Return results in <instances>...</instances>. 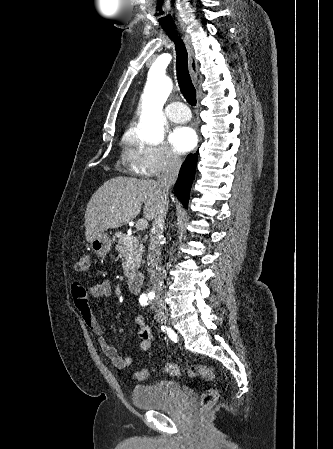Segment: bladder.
I'll list each match as a JSON object with an SVG mask.
<instances>
[{
    "label": "bladder",
    "instance_id": "1",
    "mask_svg": "<svg viewBox=\"0 0 333 449\" xmlns=\"http://www.w3.org/2000/svg\"><path fill=\"white\" fill-rule=\"evenodd\" d=\"M181 393L180 384L173 380L138 385L132 391V403L141 410H159L172 406Z\"/></svg>",
    "mask_w": 333,
    "mask_h": 449
}]
</instances>
